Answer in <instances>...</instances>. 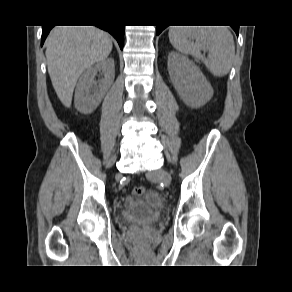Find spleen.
Returning a JSON list of instances; mask_svg holds the SVG:
<instances>
[{
    "label": "spleen",
    "instance_id": "3e777b00",
    "mask_svg": "<svg viewBox=\"0 0 292 292\" xmlns=\"http://www.w3.org/2000/svg\"><path fill=\"white\" fill-rule=\"evenodd\" d=\"M168 35L177 51L201 59L214 76L223 77L229 73L235 56V44L227 28L172 26ZM190 39L195 42L191 43ZM201 51L208 52L207 58Z\"/></svg>",
    "mask_w": 292,
    "mask_h": 292
}]
</instances>
